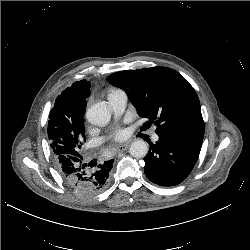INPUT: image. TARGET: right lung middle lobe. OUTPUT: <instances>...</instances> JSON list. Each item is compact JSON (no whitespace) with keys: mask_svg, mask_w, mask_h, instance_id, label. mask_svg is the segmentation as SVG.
Here are the masks:
<instances>
[{"mask_svg":"<svg viewBox=\"0 0 250 250\" xmlns=\"http://www.w3.org/2000/svg\"><path fill=\"white\" fill-rule=\"evenodd\" d=\"M48 138L55 160L61 155L71 159V156L82 158L80 148L85 141L84 120L71 129L60 127L56 121L49 120Z\"/></svg>","mask_w":250,"mask_h":250,"instance_id":"right-lung-middle-lobe-1","label":"right lung middle lobe"}]
</instances>
